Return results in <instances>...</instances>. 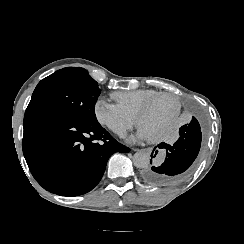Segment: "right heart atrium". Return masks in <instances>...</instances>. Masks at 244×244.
Masks as SVG:
<instances>
[{"mask_svg":"<svg viewBox=\"0 0 244 244\" xmlns=\"http://www.w3.org/2000/svg\"><path fill=\"white\" fill-rule=\"evenodd\" d=\"M97 120L106 125L118 136L137 125V117L124 106L111 102L108 98H99L94 105Z\"/></svg>","mask_w":244,"mask_h":244,"instance_id":"obj_1","label":"right heart atrium"}]
</instances>
